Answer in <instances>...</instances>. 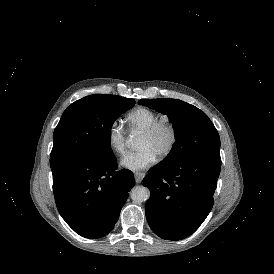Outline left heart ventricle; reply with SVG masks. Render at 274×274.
<instances>
[{
  "label": "left heart ventricle",
  "mask_w": 274,
  "mask_h": 274,
  "mask_svg": "<svg viewBox=\"0 0 274 274\" xmlns=\"http://www.w3.org/2000/svg\"><path fill=\"white\" fill-rule=\"evenodd\" d=\"M168 144L169 134L167 131L161 130L153 137L140 135L137 142V148H148L156 157H158L167 148Z\"/></svg>",
  "instance_id": "left-heart-ventricle-1"
}]
</instances>
